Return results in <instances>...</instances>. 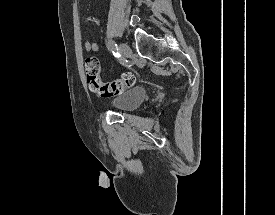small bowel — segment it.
I'll use <instances>...</instances> for the list:
<instances>
[{"mask_svg":"<svg viewBox=\"0 0 275 215\" xmlns=\"http://www.w3.org/2000/svg\"><path fill=\"white\" fill-rule=\"evenodd\" d=\"M87 21L90 22V23H94V24H96V25H99V24H100L99 20H97V19L94 18V17H89V18L87 19ZM84 48H85L86 51H97V50H98V44L95 43V42L86 41V42L84 43Z\"/></svg>","mask_w":275,"mask_h":215,"instance_id":"1","label":"small bowel"}]
</instances>
